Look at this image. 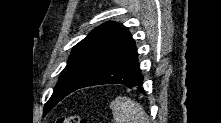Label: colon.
Instances as JSON below:
<instances>
[{
    "mask_svg": "<svg viewBox=\"0 0 221 123\" xmlns=\"http://www.w3.org/2000/svg\"><path fill=\"white\" fill-rule=\"evenodd\" d=\"M57 123H88V121L79 115H69L58 118Z\"/></svg>",
    "mask_w": 221,
    "mask_h": 123,
    "instance_id": "5ec220e1",
    "label": "colon"
}]
</instances>
